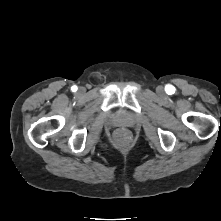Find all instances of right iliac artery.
Segmentation results:
<instances>
[{"label":"right iliac artery","instance_id":"82829eb1","mask_svg":"<svg viewBox=\"0 0 221 221\" xmlns=\"http://www.w3.org/2000/svg\"><path fill=\"white\" fill-rule=\"evenodd\" d=\"M71 89H72V91H74V92H75V91H77V86H72V88H71Z\"/></svg>","mask_w":221,"mask_h":221}]
</instances>
